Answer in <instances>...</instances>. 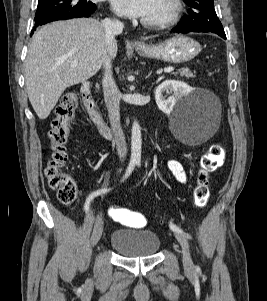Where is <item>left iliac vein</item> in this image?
<instances>
[{
    "instance_id": "left-iliac-vein-1",
    "label": "left iliac vein",
    "mask_w": 267,
    "mask_h": 301,
    "mask_svg": "<svg viewBox=\"0 0 267 301\" xmlns=\"http://www.w3.org/2000/svg\"><path fill=\"white\" fill-rule=\"evenodd\" d=\"M174 235L182 247L183 265H184L185 270L188 272H193L194 264H193V261L191 258L189 244H188L186 236L184 235L183 232H180V231H174Z\"/></svg>"
}]
</instances>
